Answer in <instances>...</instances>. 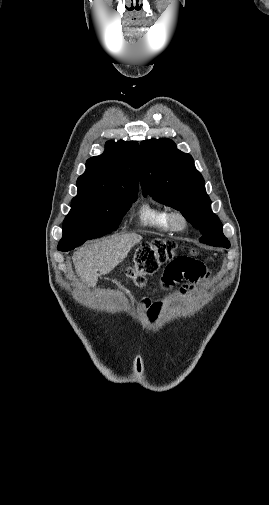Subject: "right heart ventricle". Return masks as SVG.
Returning a JSON list of instances; mask_svg holds the SVG:
<instances>
[{"mask_svg": "<svg viewBox=\"0 0 269 505\" xmlns=\"http://www.w3.org/2000/svg\"><path fill=\"white\" fill-rule=\"evenodd\" d=\"M168 214L169 211L165 207L144 201L138 207L137 222L141 226L169 233L172 229L168 223Z\"/></svg>", "mask_w": 269, "mask_h": 505, "instance_id": "right-heart-ventricle-1", "label": "right heart ventricle"}]
</instances>
